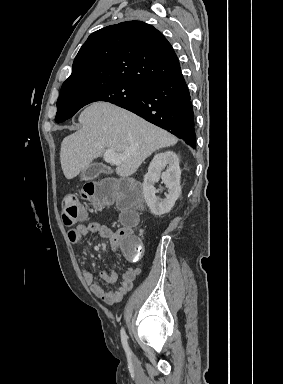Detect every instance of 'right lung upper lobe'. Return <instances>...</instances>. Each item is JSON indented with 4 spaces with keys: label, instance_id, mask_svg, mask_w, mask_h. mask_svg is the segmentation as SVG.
Segmentation results:
<instances>
[{
    "label": "right lung upper lobe",
    "instance_id": "cb5924a9",
    "mask_svg": "<svg viewBox=\"0 0 283 384\" xmlns=\"http://www.w3.org/2000/svg\"><path fill=\"white\" fill-rule=\"evenodd\" d=\"M181 71L167 39L153 26L127 21L92 33L73 62L62 88L108 81L145 87Z\"/></svg>",
    "mask_w": 283,
    "mask_h": 384
}]
</instances>
